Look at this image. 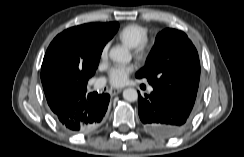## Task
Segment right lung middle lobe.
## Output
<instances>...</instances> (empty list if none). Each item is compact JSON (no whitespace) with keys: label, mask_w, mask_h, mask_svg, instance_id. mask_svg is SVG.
I'll return each mask as SVG.
<instances>
[{"label":"right lung middle lobe","mask_w":244,"mask_h":157,"mask_svg":"<svg viewBox=\"0 0 244 157\" xmlns=\"http://www.w3.org/2000/svg\"><path fill=\"white\" fill-rule=\"evenodd\" d=\"M68 38L72 39V38H74V35H71V36L68 37ZM98 63H99V59L97 60V65H98Z\"/></svg>","instance_id":"obj_1"}]
</instances>
